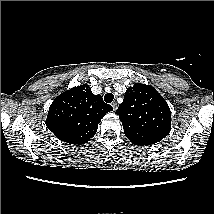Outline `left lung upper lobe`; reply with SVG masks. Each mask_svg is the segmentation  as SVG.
<instances>
[{
    "instance_id": "5c2ea615",
    "label": "left lung upper lobe",
    "mask_w": 214,
    "mask_h": 214,
    "mask_svg": "<svg viewBox=\"0 0 214 214\" xmlns=\"http://www.w3.org/2000/svg\"><path fill=\"white\" fill-rule=\"evenodd\" d=\"M116 114L126 137L134 145H151L171 129V112L164 98L151 86L136 83L126 90Z\"/></svg>"
}]
</instances>
